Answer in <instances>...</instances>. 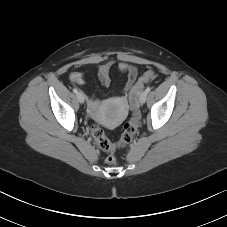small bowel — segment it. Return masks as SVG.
Wrapping results in <instances>:
<instances>
[{"label":"small bowel","mask_w":227,"mask_h":227,"mask_svg":"<svg viewBox=\"0 0 227 227\" xmlns=\"http://www.w3.org/2000/svg\"><path fill=\"white\" fill-rule=\"evenodd\" d=\"M112 66H113V62L109 61L104 64H101L97 69L98 79L103 86L107 87L111 83L110 72H111ZM117 68L121 73H124L126 75V81L123 87V92L127 93L131 91V89L135 84V81L138 76V70L135 66L126 62L118 63ZM70 80L71 82L77 85H82L85 82L84 75L81 72H72L70 74ZM97 105L98 103L95 99L92 98L89 100L90 109L95 110L97 108Z\"/></svg>","instance_id":"obj_1"}]
</instances>
